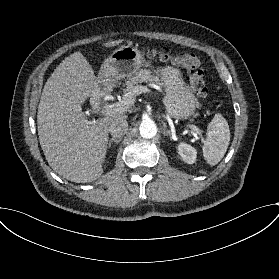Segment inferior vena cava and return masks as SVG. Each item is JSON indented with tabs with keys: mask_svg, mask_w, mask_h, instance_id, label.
<instances>
[{
	"mask_svg": "<svg viewBox=\"0 0 279 279\" xmlns=\"http://www.w3.org/2000/svg\"><path fill=\"white\" fill-rule=\"evenodd\" d=\"M108 131L114 138H121L128 131V122L125 118L118 117L110 126Z\"/></svg>",
	"mask_w": 279,
	"mask_h": 279,
	"instance_id": "obj_1",
	"label": "inferior vena cava"
}]
</instances>
